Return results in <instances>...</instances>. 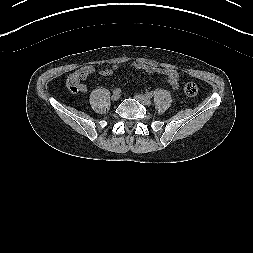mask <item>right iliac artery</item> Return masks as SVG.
<instances>
[{
  "instance_id": "obj_1",
  "label": "right iliac artery",
  "mask_w": 253,
  "mask_h": 253,
  "mask_svg": "<svg viewBox=\"0 0 253 253\" xmlns=\"http://www.w3.org/2000/svg\"><path fill=\"white\" fill-rule=\"evenodd\" d=\"M121 92V89L120 88H116L114 91H113V93H117V94H119Z\"/></svg>"
}]
</instances>
